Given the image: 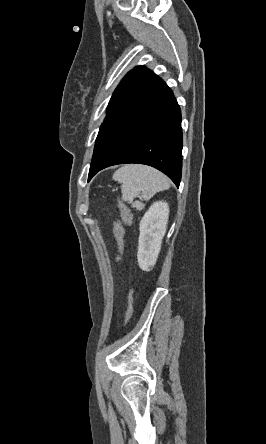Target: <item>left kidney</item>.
<instances>
[{
  "label": "left kidney",
  "instance_id": "1",
  "mask_svg": "<svg viewBox=\"0 0 266 444\" xmlns=\"http://www.w3.org/2000/svg\"><path fill=\"white\" fill-rule=\"evenodd\" d=\"M168 217V203L157 201L140 221L137 260L143 271H150L156 264L162 239L166 233Z\"/></svg>",
  "mask_w": 266,
  "mask_h": 444
}]
</instances>
